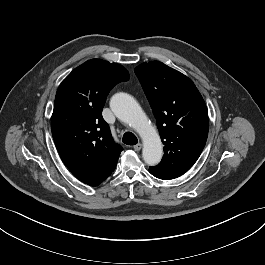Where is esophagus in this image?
Instances as JSON below:
<instances>
[{
    "instance_id": "obj_1",
    "label": "esophagus",
    "mask_w": 265,
    "mask_h": 265,
    "mask_svg": "<svg viewBox=\"0 0 265 265\" xmlns=\"http://www.w3.org/2000/svg\"><path fill=\"white\" fill-rule=\"evenodd\" d=\"M133 148H134L135 151H140L141 148H142V144L141 143H138L135 146H133Z\"/></svg>"
}]
</instances>
